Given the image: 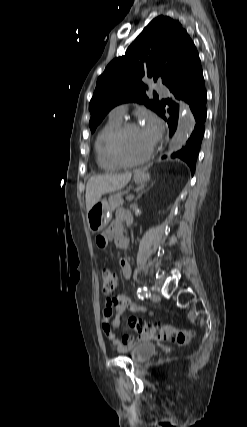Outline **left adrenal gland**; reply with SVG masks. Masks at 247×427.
<instances>
[{"instance_id":"left-adrenal-gland-1","label":"left adrenal gland","mask_w":247,"mask_h":427,"mask_svg":"<svg viewBox=\"0 0 247 427\" xmlns=\"http://www.w3.org/2000/svg\"><path fill=\"white\" fill-rule=\"evenodd\" d=\"M152 185H153V184H152ZM152 185H151V186H152ZM151 186H150L149 188H147V189L142 190V192L137 196V198H136V200H135V201L137 202V201L141 198L142 194H143V193H145L146 191H148V190L151 188Z\"/></svg>"}]
</instances>
